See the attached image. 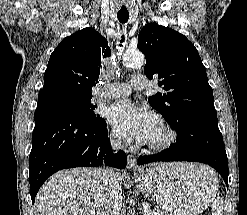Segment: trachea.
I'll return each instance as SVG.
<instances>
[{
  "mask_svg": "<svg viewBox=\"0 0 247 215\" xmlns=\"http://www.w3.org/2000/svg\"><path fill=\"white\" fill-rule=\"evenodd\" d=\"M117 18L120 21V23L124 24L129 19V13L128 12H118L117 13ZM120 42H124V36H122V39H121Z\"/></svg>",
  "mask_w": 247,
  "mask_h": 215,
  "instance_id": "3493384b",
  "label": "trachea"
}]
</instances>
